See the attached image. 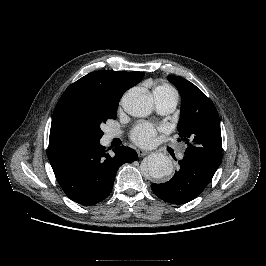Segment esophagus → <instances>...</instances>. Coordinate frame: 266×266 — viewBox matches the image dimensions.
I'll list each match as a JSON object with an SVG mask.
<instances>
[{"label":"esophagus","instance_id":"esophagus-1","mask_svg":"<svg viewBox=\"0 0 266 266\" xmlns=\"http://www.w3.org/2000/svg\"><path fill=\"white\" fill-rule=\"evenodd\" d=\"M137 154L139 157H143V156L149 154V151L143 150V149H137Z\"/></svg>","mask_w":266,"mask_h":266}]
</instances>
